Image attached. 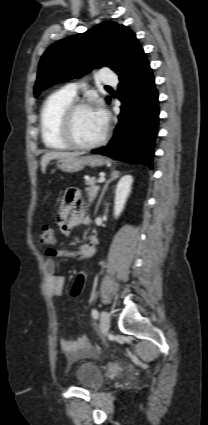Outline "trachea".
<instances>
[{"label": "trachea", "mask_w": 208, "mask_h": 425, "mask_svg": "<svg viewBox=\"0 0 208 425\" xmlns=\"http://www.w3.org/2000/svg\"><path fill=\"white\" fill-rule=\"evenodd\" d=\"M106 88H110L109 86H105Z\"/></svg>", "instance_id": "trachea-1"}]
</instances>
